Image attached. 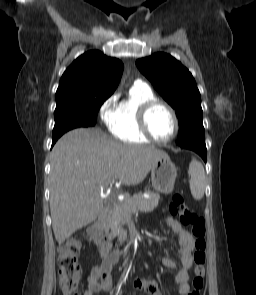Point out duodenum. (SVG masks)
Instances as JSON below:
<instances>
[{
    "instance_id": "1",
    "label": "duodenum",
    "mask_w": 256,
    "mask_h": 295,
    "mask_svg": "<svg viewBox=\"0 0 256 295\" xmlns=\"http://www.w3.org/2000/svg\"><path fill=\"white\" fill-rule=\"evenodd\" d=\"M109 219V209L103 207L97 220L89 226L88 236L94 242V244L102 251L104 260H108L112 251H110L106 244V236L104 232V227Z\"/></svg>"
}]
</instances>
